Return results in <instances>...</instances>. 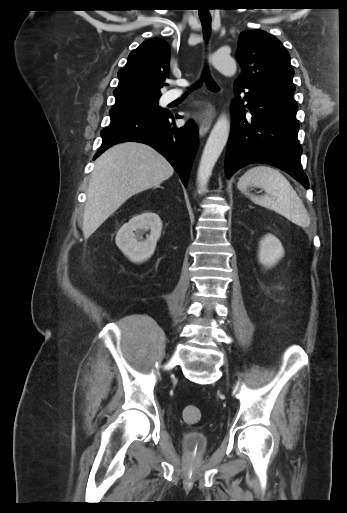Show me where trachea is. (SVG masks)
<instances>
[{"label":"trachea","mask_w":347,"mask_h":513,"mask_svg":"<svg viewBox=\"0 0 347 513\" xmlns=\"http://www.w3.org/2000/svg\"><path fill=\"white\" fill-rule=\"evenodd\" d=\"M201 24H202V29H203L204 37H205V39H208L210 31H211V18H206V19L201 18ZM202 77L205 79L207 88L210 91H217V90H219L218 84L210 76L208 69L204 70ZM199 84H200V82H197V85H199Z\"/></svg>","instance_id":"3493384b"}]
</instances>
